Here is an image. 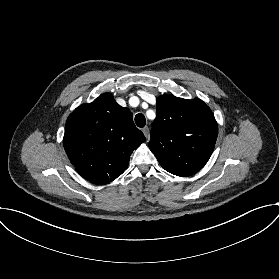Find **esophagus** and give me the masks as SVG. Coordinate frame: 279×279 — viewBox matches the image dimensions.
Listing matches in <instances>:
<instances>
[{
    "instance_id": "obj_1",
    "label": "esophagus",
    "mask_w": 279,
    "mask_h": 279,
    "mask_svg": "<svg viewBox=\"0 0 279 279\" xmlns=\"http://www.w3.org/2000/svg\"><path fill=\"white\" fill-rule=\"evenodd\" d=\"M142 132L144 133L145 137H148V135H149V127H148V126H145V127L142 129Z\"/></svg>"
}]
</instances>
